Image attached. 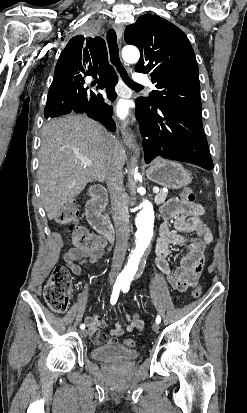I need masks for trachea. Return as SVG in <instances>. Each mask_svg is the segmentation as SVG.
<instances>
[{
	"mask_svg": "<svg viewBox=\"0 0 247 413\" xmlns=\"http://www.w3.org/2000/svg\"><path fill=\"white\" fill-rule=\"evenodd\" d=\"M107 41L109 45V51L111 56V62L114 66H116L120 76L122 77L123 81L130 87L132 90H142L143 86L139 85V83L134 82L126 72L125 68L123 67L120 58H119V49L117 44L116 33L113 29L108 31L107 34Z\"/></svg>",
	"mask_w": 247,
	"mask_h": 413,
	"instance_id": "1",
	"label": "trachea"
}]
</instances>
